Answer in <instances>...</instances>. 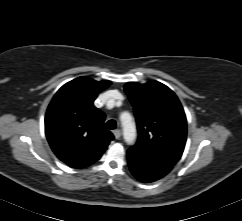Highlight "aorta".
I'll list each match as a JSON object with an SVG mask.
<instances>
[{"label":"aorta","mask_w":242,"mask_h":221,"mask_svg":"<svg viewBox=\"0 0 242 221\" xmlns=\"http://www.w3.org/2000/svg\"><path fill=\"white\" fill-rule=\"evenodd\" d=\"M121 123L125 141L128 144H133L136 139V127L129 113L125 112L121 115Z\"/></svg>","instance_id":"aorta-1"}]
</instances>
